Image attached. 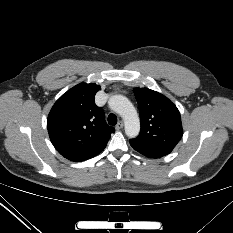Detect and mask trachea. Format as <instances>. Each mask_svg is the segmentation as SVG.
<instances>
[{"label": "trachea", "mask_w": 233, "mask_h": 233, "mask_svg": "<svg viewBox=\"0 0 233 233\" xmlns=\"http://www.w3.org/2000/svg\"><path fill=\"white\" fill-rule=\"evenodd\" d=\"M108 123H109V125H116L117 124V116L113 113L109 114Z\"/></svg>", "instance_id": "obj_1"}]
</instances>
